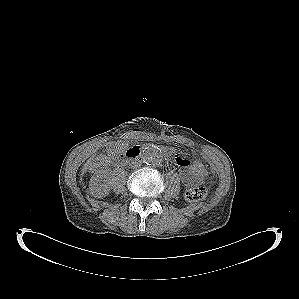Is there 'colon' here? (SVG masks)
Segmentation results:
<instances>
[{
    "mask_svg": "<svg viewBox=\"0 0 299 299\" xmlns=\"http://www.w3.org/2000/svg\"><path fill=\"white\" fill-rule=\"evenodd\" d=\"M191 171L196 183L203 181L208 175L206 167L200 161H193L191 163ZM206 195V189L202 186H197L186 191L185 199L190 203H196L204 200Z\"/></svg>",
    "mask_w": 299,
    "mask_h": 299,
    "instance_id": "colon-1",
    "label": "colon"
}]
</instances>
